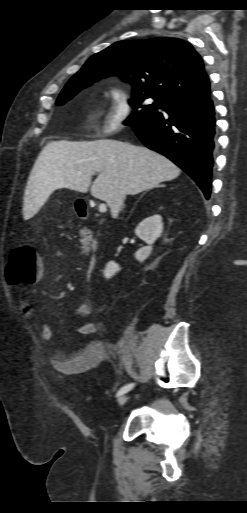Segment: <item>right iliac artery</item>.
Wrapping results in <instances>:
<instances>
[{"label": "right iliac artery", "mask_w": 247, "mask_h": 513, "mask_svg": "<svg viewBox=\"0 0 247 513\" xmlns=\"http://www.w3.org/2000/svg\"><path fill=\"white\" fill-rule=\"evenodd\" d=\"M134 387V384L133 383H130V384H127L125 386H123L122 388H120V390L117 392V397L118 396H121L125 393H127L128 391H130L132 388Z\"/></svg>", "instance_id": "obj_1"}]
</instances>
